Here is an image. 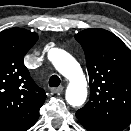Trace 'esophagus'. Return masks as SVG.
<instances>
[{"label": "esophagus", "instance_id": "1", "mask_svg": "<svg viewBox=\"0 0 131 131\" xmlns=\"http://www.w3.org/2000/svg\"><path fill=\"white\" fill-rule=\"evenodd\" d=\"M63 89H64L63 86L54 87V88H51V92L53 94H60L63 91Z\"/></svg>", "mask_w": 131, "mask_h": 131}]
</instances>
